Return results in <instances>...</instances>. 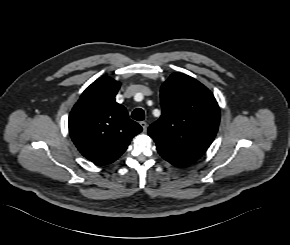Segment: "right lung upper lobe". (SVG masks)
Returning a JSON list of instances; mask_svg holds the SVG:
<instances>
[{"instance_id": "obj_1", "label": "right lung upper lobe", "mask_w": 290, "mask_h": 245, "mask_svg": "<svg viewBox=\"0 0 290 245\" xmlns=\"http://www.w3.org/2000/svg\"><path fill=\"white\" fill-rule=\"evenodd\" d=\"M119 88L120 82L100 77L82 93L69 116L74 144L83 156L98 165L114 162L142 131L115 101Z\"/></svg>"}]
</instances>
